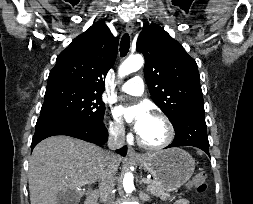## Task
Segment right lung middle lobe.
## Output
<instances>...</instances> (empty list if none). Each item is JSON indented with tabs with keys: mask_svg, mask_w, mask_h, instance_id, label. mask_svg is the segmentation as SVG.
Listing matches in <instances>:
<instances>
[{
	"mask_svg": "<svg viewBox=\"0 0 253 204\" xmlns=\"http://www.w3.org/2000/svg\"><path fill=\"white\" fill-rule=\"evenodd\" d=\"M104 112L100 94L74 85L56 84L47 85L40 117L67 118L102 126Z\"/></svg>",
	"mask_w": 253,
	"mask_h": 204,
	"instance_id": "obj_1",
	"label": "right lung middle lobe"
}]
</instances>
